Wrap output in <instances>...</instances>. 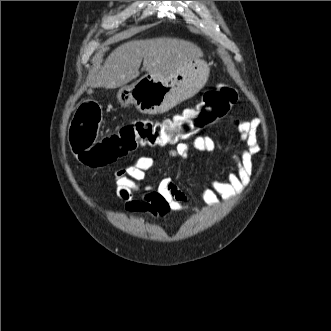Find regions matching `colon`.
<instances>
[{"label": "colon", "mask_w": 331, "mask_h": 331, "mask_svg": "<svg viewBox=\"0 0 331 331\" xmlns=\"http://www.w3.org/2000/svg\"><path fill=\"white\" fill-rule=\"evenodd\" d=\"M237 100V92L220 85L206 92L202 101L181 114L163 120L141 119L118 131L97 137L102 120L100 105L94 100L77 109L69 130L72 153L84 165L102 167L116 162L139 146H166L186 140L225 117Z\"/></svg>", "instance_id": "5ec220e1"}]
</instances>
